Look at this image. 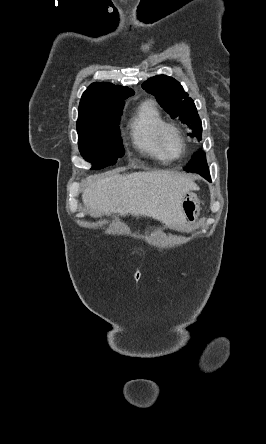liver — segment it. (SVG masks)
Masks as SVG:
<instances>
[{"label": "liver", "instance_id": "liver-1", "mask_svg": "<svg viewBox=\"0 0 266 444\" xmlns=\"http://www.w3.org/2000/svg\"><path fill=\"white\" fill-rule=\"evenodd\" d=\"M193 180L175 172H134L97 178L88 183L82 199L89 214L147 216L169 228L183 230L181 202Z\"/></svg>", "mask_w": 266, "mask_h": 444}]
</instances>
